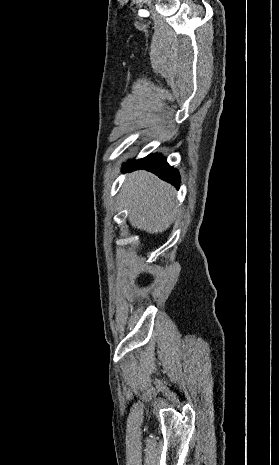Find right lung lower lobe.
Instances as JSON below:
<instances>
[{
    "label": "right lung lower lobe",
    "mask_w": 279,
    "mask_h": 465,
    "mask_svg": "<svg viewBox=\"0 0 279 465\" xmlns=\"http://www.w3.org/2000/svg\"><path fill=\"white\" fill-rule=\"evenodd\" d=\"M138 169H145L159 176L162 180H166L179 189L180 176L176 169L171 167L165 157H158L148 164H132L124 166L123 171H133Z\"/></svg>",
    "instance_id": "1"
}]
</instances>
